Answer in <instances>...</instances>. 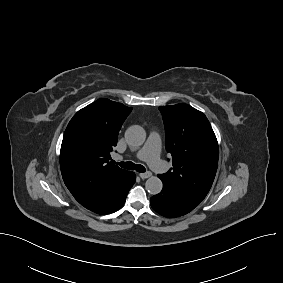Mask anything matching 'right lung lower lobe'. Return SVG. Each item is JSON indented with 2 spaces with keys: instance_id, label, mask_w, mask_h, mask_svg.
I'll return each instance as SVG.
<instances>
[{
  "instance_id": "98d812e1",
  "label": "right lung lower lobe",
  "mask_w": 283,
  "mask_h": 283,
  "mask_svg": "<svg viewBox=\"0 0 283 283\" xmlns=\"http://www.w3.org/2000/svg\"><path fill=\"white\" fill-rule=\"evenodd\" d=\"M136 181V176L133 172H130L127 180L124 184L112 191L109 198L103 201L101 204L90 208L89 210L98 214H110L120 209L126 200V196L130 188L134 185Z\"/></svg>"
}]
</instances>
